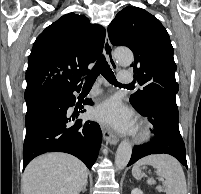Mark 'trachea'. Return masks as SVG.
Instances as JSON below:
<instances>
[{"mask_svg": "<svg viewBox=\"0 0 201 194\" xmlns=\"http://www.w3.org/2000/svg\"><path fill=\"white\" fill-rule=\"evenodd\" d=\"M102 74V76H104V78L111 83L112 85L118 86V87H122L124 85L120 84L119 82H117L115 75L112 71V69L110 68V66L108 65V62L106 61L104 55H101L95 66L93 67V69L91 70V72L88 74V76L86 77V81L84 83V89H91V87L93 86L96 78ZM126 86H130V85H126Z\"/></svg>", "mask_w": 201, "mask_h": 194, "instance_id": "obj_1", "label": "trachea"}]
</instances>
